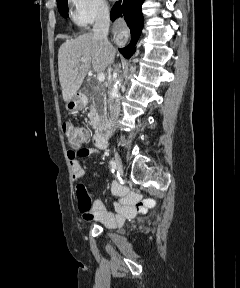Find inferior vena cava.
<instances>
[{
  "label": "inferior vena cava",
  "mask_w": 240,
  "mask_h": 288,
  "mask_svg": "<svg viewBox=\"0 0 240 288\" xmlns=\"http://www.w3.org/2000/svg\"><path fill=\"white\" fill-rule=\"evenodd\" d=\"M109 9L106 6L100 7L95 24L93 26V36L100 40L106 47H111V44L108 41V32H109ZM110 65V63H109ZM120 114V100L119 96H117L110 108V117L111 119L107 123V137H110L114 130L112 120L118 118Z\"/></svg>",
  "instance_id": "inferior-vena-cava-1"
}]
</instances>
